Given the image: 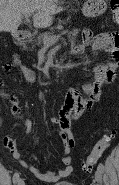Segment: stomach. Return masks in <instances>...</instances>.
Returning a JSON list of instances; mask_svg holds the SVG:
<instances>
[{
  "label": "stomach",
  "mask_w": 119,
  "mask_h": 185,
  "mask_svg": "<svg viewBox=\"0 0 119 185\" xmlns=\"http://www.w3.org/2000/svg\"><path fill=\"white\" fill-rule=\"evenodd\" d=\"M106 8V0H86L82 12L86 17H96L103 14Z\"/></svg>",
  "instance_id": "obj_1"
}]
</instances>
